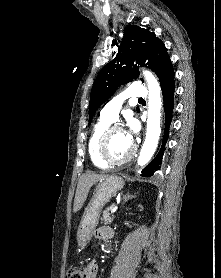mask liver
<instances>
[{"instance_id":"6515ba94","label":"liver","mask_w":221,"mask_h":278,"mask_svg":"<svg viewBox=\"0 0 221 278\" xmlns=\"http://www.w3.org/2000/svg\"><path fill=\"white\" fill-rule=\"evenodd\" d=\"M106 177L107 175L104 174L85 173L79 178L74 199V213L78 212L82 208L84 202L86 201L90 188L95 183L103 180Z\"/></svg>"}]
</instances>
